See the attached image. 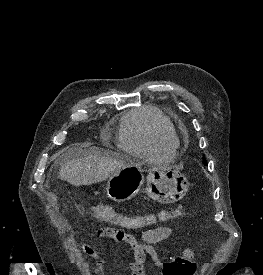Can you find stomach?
Returning a JSON list of instances; mask_svg holds the SVG:
<instances>
[{
    "instance_id": "0dacf381",
    "label": "stomach",
    "mask_w": 263,
    "mask_h": 275,
    "mask_svg": "<svg viewBox=\"0 0 263 275\" xmlns=\"http://www.w3.org/2000/svg\"><path fill=\"white\" fill-rule=\"evenodd\" d=\"M142 163H132L109 177L106 193L116 202L132 199L144 183ZM146 193L153 200L168 204L182 199L189 183L177 170L165 166H153L146 177Z\"/></svg>"
}]
</instances>
